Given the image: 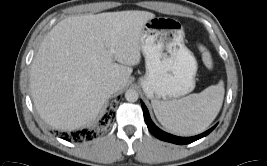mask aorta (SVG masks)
Wrapping results in <instances>:
<instances>
[{
  "instance_id": "1",
  "label": "aorta",
  "mask_w": 267,
  "mask_h": 166,
  "mask_svg": "<svg viewBox=\"0 0 267 166\" xmlns=\"http://www.w3.org/2000/svg\"><path fill=\"white\" fill-rule=\"evenodd\" d=\"M125 98L129 102H136L139 98L138 91L134 89H128L125 93Z\"/></svg>"
}]
</instances>
